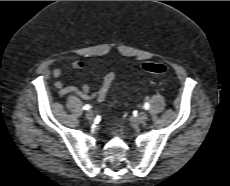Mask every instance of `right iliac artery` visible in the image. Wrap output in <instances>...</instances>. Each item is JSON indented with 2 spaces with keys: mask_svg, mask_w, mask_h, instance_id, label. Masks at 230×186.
Wrapping results in <instances>:
<instances>
[{
  "mask_svg": "<svg viewBox=\"0 0 230 186\" xmlns=\"http://www.w3.org/2000/svg\"><path fill=\"white\" fill-rule=\"evenodd\" d=\"M90 108H91V106L88 105V104H86V105L83 107L84 110H89Z\"/></svg>",
  "mask_w": 230,
  "mask_h": 186,
  "instance_id": "obj_1",
  "label": "right iliac artery"
}]
</instances>
